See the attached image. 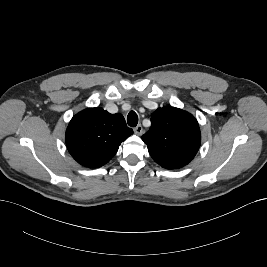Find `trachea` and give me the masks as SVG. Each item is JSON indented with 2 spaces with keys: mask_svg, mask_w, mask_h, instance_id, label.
Segmentation results:
<instances>
[{
  "mask_svg": "<svg viewBox=\"0 0 267 267\" xmlns=\"http://www.w3.org/2000/svg\"><path fill=\"white\" fill-rule=\"evenodd\" d=\"M127 123L131 127H135L138 123V116L134 111H130L127 116Z\"/></svg>",
  "mask_w": 267,
  "mask_h": 267,
  "instance_id": "trachea-1",
  "label": "trachea"
}]
</instances>
